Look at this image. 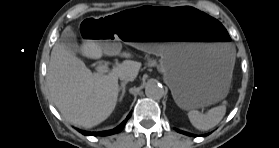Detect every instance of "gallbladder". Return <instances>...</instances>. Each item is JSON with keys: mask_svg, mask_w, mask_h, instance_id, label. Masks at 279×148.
<instances>
[{"mask_svg": "<svg viewBox=\"0 0 279 148\" xmlns=\"http://www.w3.org/2000/svg\"><path fill=\"white\" fill-rule=\"evenodd\" d=\"M59 43L62 44L65 47V49L68 50L72 54L81 52V48L77 43L76 35L71 30L70 27H67L63 31V33L59 39Z\"/></svg>", "mask_w": 279, "mask_h": 148, "instance_id": "bac80fb5", "label": "gallbladder"}]
</instances>
